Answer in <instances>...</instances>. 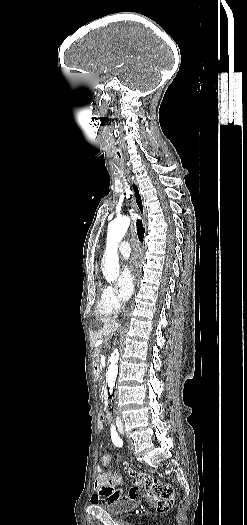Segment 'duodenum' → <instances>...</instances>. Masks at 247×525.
<instances>
[{"mask_svg":"<svg viewBox=\"0 0 247 525\" xmlns=\"http://www.w3.org/2000/svg\"><path fill=\"white\" fill-rule=\"evenodd\" d=\"M93 372L96 377L100 374V367L98 363L93 364ZM102 397L103 399L108 403V392L106 390H102Z\"/></svg>","mask_w":247,"mask_h":525,"instance_id":"obj_1","label":"duodenum"}]
</instances>
